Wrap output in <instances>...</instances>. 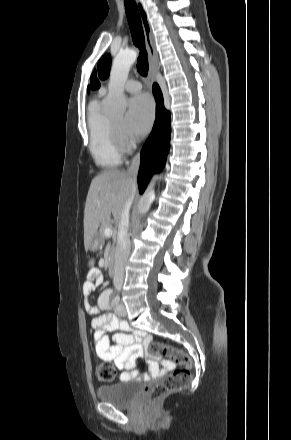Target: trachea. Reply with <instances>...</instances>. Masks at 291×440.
<instances>
[{"mask_svg": "<svg viewBox=\"0 0 291 440\" xmlns=\"http://www.w3.org/2000/svg\"><path fill=\"white\" fill-rule=\"evenodd\" d=\"M124 4L133 43L140 50L139 57L137 59V71L142 76H146L149 66L139 11L134 0H124Z\"/></svg>", "mask_w": 291, "mask_h": 440, "instance_id": "1", "label": "trachea"}]
</instances>
